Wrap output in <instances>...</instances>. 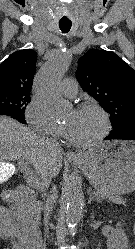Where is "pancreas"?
I'll list each match as a JSON object with an SVG mask.
<instances>
[{
  "label": "pancreas",
  "instance_id": "obj_1",
  "mask_svg": "<svg viewBox=\"0 0 135 249\" xmlns=\"http://www.w3.org/2000/svg\"><path fill=\"white\" fill-rule=\"evenodd\" d=\"M99 198H107L110 202L115 204L125 205L126 201L119 196L106 194L103 192H95ZM42 209L41 203L39 201H33L27 206V215L30 219H38L40 216V210Z\"/></svg>",
  "mask_w": 135,
  "mask_h": 249
}]
</instances>
